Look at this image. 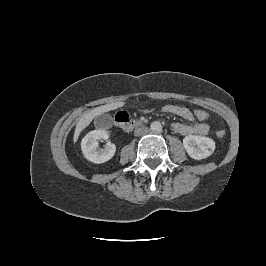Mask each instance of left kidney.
Listing matches in <instances>:
<instances>
[{
	"label": "left kidney",
	"mask_w": 266,
	"mask_h": 266,
	"mask_svg": "<svg viewBox=\"0 0 266 266\" xmlns=\"http://www.w3.org/2000/svg\"><path fill=\"white\" fill-rule=\"evenodd\" d=\"M183 145L188 155L195 160L207 158L215 150L213 139L204 136H186L183 139Z\"/></svg>",
	"instance_id": "left-kidney-1"
}]
</instances>
